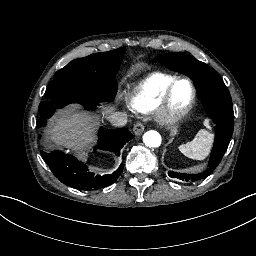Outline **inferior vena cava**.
<instances>
[{"label": "inferior vena cava", "instance_id": "602c4592", "mask_svg": "<svg viewBox=\"0 0 256 256\" xmlns=\"http://www.w3.org/2000/svg\"><path fill=\"white\" fill-rule=\"evenodd\" d=\"M106 119L115 127L125 126L127 123L126 112H113L106 116Z\"/></svg>", "mask_w": 256, "mask_h": 256}]
</instances>
